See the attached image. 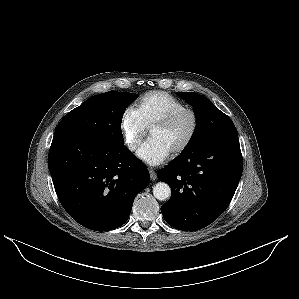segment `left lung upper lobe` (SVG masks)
<instances>
[{"instance_id":"obj_1","label":"left lung upper lobe","mask_w":299,"mask_h":299,"mask_svg":"<svg viewBox=\"0 0 299 299\" xmlns=\"http://www.w3.org/2000/svg\"><path fill=\"white\" fill-rule=\"evenodd\" d=\"M177 94L193 106L197 122L194 134L180 156L199 151L212 140L236 129L232 120L206 97L195 92Z\"/></svg>"}]
</instances>
